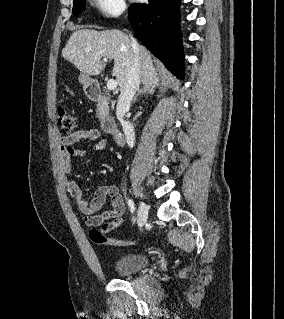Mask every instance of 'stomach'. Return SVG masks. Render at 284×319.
<instances>
[{
    "instance_id": "obj_1",
    "label": "stomach",
    "mask_w": 284,
    "mask_h": 319,
    "mask_svg": "<svg viewBox=\"0 0 284 319\" xmlns=\"http://www.w3.org/2000/svg\"><path fill=\"white\" fill-rule=\"evenodd\" d=\"M80 83L83 85L84 91L87 93L91 85L95 83L93 79H91L89 76L81 74L79 77Z\"/></svg>"
}]
</instances>
